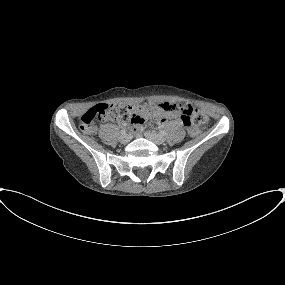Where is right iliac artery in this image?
<instances>
[{
    "instance_id": "1",
    "label": "right iliac artery",
    "mask_w": 285,
    "mask_h": 285,
    "mask_svg": "<svg viewBox=\"0 0 285 285\" xmlns=\"http://www.w3.org/2000/svg\"><path fill=\"white\" fill-rule=\"evenodd\" d=\"M126 132H127L126 128H123V129L121 130V134H122V135H125Z\"/></svg>"
}]
</instances>
